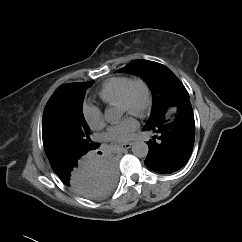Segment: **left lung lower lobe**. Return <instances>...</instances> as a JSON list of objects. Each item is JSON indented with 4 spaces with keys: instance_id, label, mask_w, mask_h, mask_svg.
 Here are the masks:
<instances>
[{
    "instance_id": "0a47b994",
    "label": "left lung lower lobe",
    "mask_w": 242,
    "mask_h": 242,
    "mask_svg": "<svg viewBox=\"0 0 242 242\" xmlns=\"http://www.w3.org/2000/svg\"><path fill=\"white\" fill-rule=\"evenodd\" d=\"M174 107L176 112L172 116L165 113L143 128L158 134L153 141H149V153L144 163L150 170L160 174L181 169L187 163L194 145L195 121L190 100H184Z\"/></svg>"
}]
</instances>
